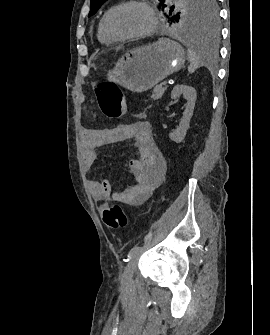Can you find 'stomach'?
Returning <instances> with one entry per match:
<instances>
[{"instance_id": "1", "label": "stomach", "mask_w": 270, "mask_h": 335, "mask_svg": "<svg viewBox=\"0 0 270 335\" xmlns=\"http://www.w3.org/2000/svg\"><path fill=\"white\" fill-rule=\"evenodd\" d=\"M185 52L174 40L158 38L157 42L125 52L107 80L130 92H146L164 78L183 68Z\"/></svg>"}]
</instances>
